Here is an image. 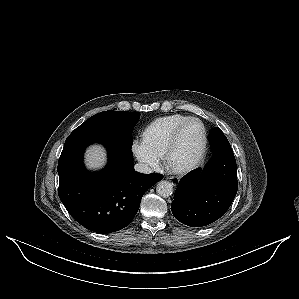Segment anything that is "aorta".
<instances>
[{
  "label": "aorta",
  "mask_w": 299,
  "mask_h": 299,
  "mask_svg": "<svg viewBox=\"0 0 299 299\" xmlns=\"http://www.w3.org/2000/svg\"><path fill=\"white\" fill-rule=\"evenodd\" d=\"M156 191L160 196L167 198L171 196L173 193V185L169 181L162 180L158 182L156 186Z\"/></svg>",
  "instance_id": "1"
}]
</instances>
